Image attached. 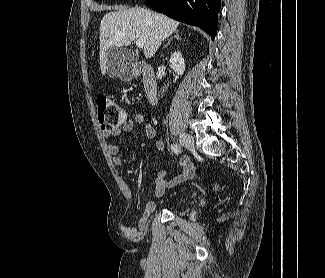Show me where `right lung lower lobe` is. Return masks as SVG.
Wrapping results in <instances>:
<instances>
[{
	"mask_svg": "<svg viewBox=\"0 0 325 278\" xmlns=\"http://www.w3.org/2000/svg\"><path fill=\"white\" fill-rule=\"evenodd\" d=\"M154 10L186 24L202 28L214 37L220 0H145Z\"/></svg>",
	"mask_w": 325,
	"mask_h": 278,
	"instance_id": "right-lung-lower-lobe-1",
	"label": "right lung lower lobe"
}]
</instances>
